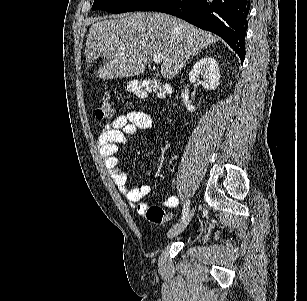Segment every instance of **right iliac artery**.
I'll return each instance as SVG.
<instances>
[{
	"label": "right iliac artery",
	"instance_id": "obj_1",
	"mask_svg": "<svg viewBox=\"0 0 307 301\" xmlns=\"http://www.w3.org/2000/svg\"><path fill=\"white\" fill-rule=\"evenodd\" d=\"M189 207H190V200H186V202L184 203V206H183V210H182V221L185 220V218L188 214V211H189Z\"/></svg>",
	"mask_w": 307,
	"mask_h": 301
}]
</instances>
